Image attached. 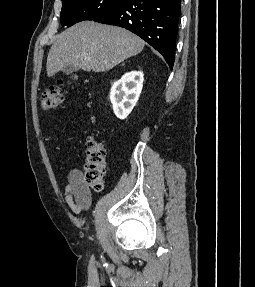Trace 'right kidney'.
<instances>
[{"instance_id":"obj_1","label":"right kidney","mask_w":255,"mask_h":287,"mask_svg":"<svg viewBox=\"0 0 255 287\" xmlns=\"http://www.w3.org/2000/svg\"><path fill=\"white\" fill-rule=\"evenodd\" d=\"M143 72H127L121 80L113 84L110 92V100L114 114L120 120H125L132 112L141 94L143 84Z\"/></svg>"}]
</instances>
